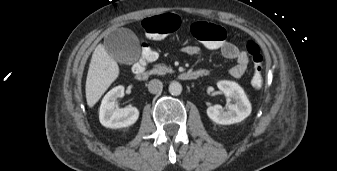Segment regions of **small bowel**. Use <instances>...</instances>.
Instances as JSON below:
<instances>
[{
  "label": "small bowel",
  "mask_w": 337,
  "mask_h": 171,
  "mask_svg": "<svg viewBox=\"0 0 337 171\" xmlns=\"http://www.w3.org/2000/svg\"><path fill=\"white\" fill-rule=\"evenodd\" d=\"M221 55L229 60H233L236 64L231 67L230 75L234 78H240L245 73L248 64H249V56L248 54L240 50L235 44L232 42H224V45L219 49ZM183 52L188 55H200L202 53L201 49L195 45H188L183 48ZM157 55V54H156Z\"/></svg>",
  "instance_id": "obj_1"
}]
</instances>
